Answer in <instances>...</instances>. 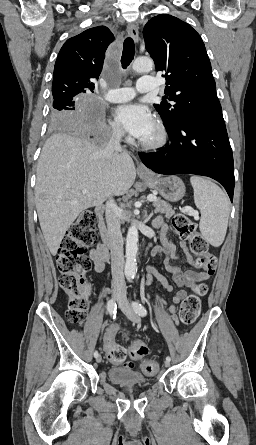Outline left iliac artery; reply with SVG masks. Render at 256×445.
<instances>
[{
    "mask_svg": "<svg viewBox=\"0 0 256 445\" xmlns=\"http://www.w3.org/2000/svg\"><path fill=\"white\" fill-rule=\"evenodd\" d=\"M132 306H133L134 311L137 314H139L140 316H146L147 315V310H146V308L142 304H140L138 302H133ZM166 360L170 361L171 360L170 356H167Z\"/></svg>",
    "mask_w": 256,
    "mask_h": 445,
    "instance_id": "44dca946",
    "label": "left iliac artery"
}]
</instances>
